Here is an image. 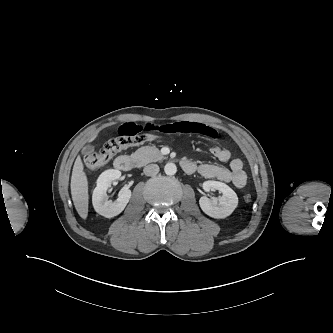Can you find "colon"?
Returning <instances> with one entry per match:
<instances>
[{"label": "colon", "instance_id": "1", "mask_svg": "<svg viewBox=\"0 0 333 333\" xmlns=\"http://www.w3.org/2000/svg\"><path fill=\"white\" fill-rule=\"evenodd\" d=\"M158 139L154 134H138L135 136H120L109 140L98 152L88 154L85 157V164L90 169H97L109 162L117 153L131 147L142 145ZM244 200L251 201V195L245 194Z\"/></svg>", "mask_w": 333, "mask_h": 333}]
</instances>
